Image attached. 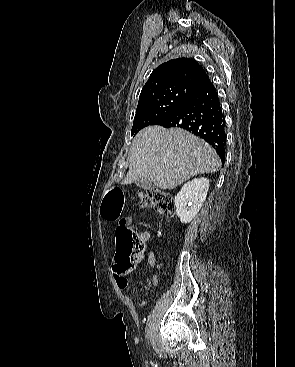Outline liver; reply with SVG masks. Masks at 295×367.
Listing matches in <instances>:
<instances>
[{
  "label": "liver",
  "instance_id": "1",
  "mask_svg": "<svg viewBox=\"0 0 295 367\" xmlns=\"http://www.w3.org/2000/svg\"><path fill=\"white\" fill-rule=\"evenodd\" d=\"M220 165L216 151L191 133L149 126L132 141L123 183L144 178L160 189L171 190L193 176L218 171Z\"/></svg>",
  "mask_w": 295,
  "mask_h": 367
}]
</instances>
